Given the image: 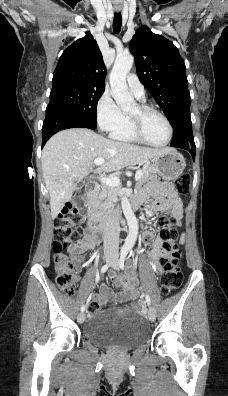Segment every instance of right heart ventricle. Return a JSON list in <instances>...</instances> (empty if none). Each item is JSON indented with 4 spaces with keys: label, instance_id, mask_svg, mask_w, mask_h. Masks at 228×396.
Listing matches in <instances>:
<instances>
[{
    "label": "right heart ventricle",
    "instance_id": "right-heart-ventricle-1",
    "mask_svg": "<svg viewBox=\"0 0 228 396\" xmlns=\"http://www.w3.org/2000/svg\"><path fill=\"white\" fill-rule=\"evenodd\" d=\"M111 137L116 140L139 143V139L133 133L130 119L126 116V122L111 132Z\"/></svg>",
    "mask_w": 228,
    "mask_h": 396
}]
</instances>
